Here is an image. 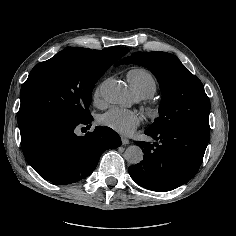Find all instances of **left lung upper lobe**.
I'll return each instance as SVG.
<instances>
[{"label": "left lung upper lobe", "mask_w": 236, "mask_h": 236, "mask_svg": "<svg viewBox=\"0 0 236 236\" xmlns=\"http://www.w3.org/2000/svg\"><path fill=\"white\" fill-rule=\"evenodd\" d=\"M137 64L152 71L162 91L159 117L148 128H194L210 131V101L201 81L173 54L135 52L115 64Z\"/></svg>", "instance_id": "obj_1"}]
</instances>
